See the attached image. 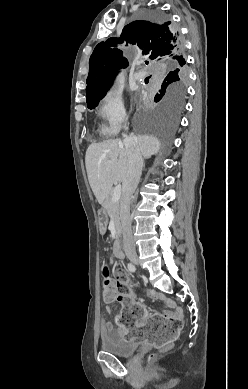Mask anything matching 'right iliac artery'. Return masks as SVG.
Listing matches in <instances>:
<instances>
[{"label":"right iliac artery","instance_id":"obj_1","mask_svg":"<svg viewBox=\"0 0 248 389\" xmlns=\"http://www.w3.org/2000/svg\"><path fill=\"white\" fill-rule=\"evenodd\" d=\"M127 266H128L129 271H131V272H134L136 270L135 266L132 263H128Z\"/></svg>","mask_w":248,"mask_h":389}]
</instances>
